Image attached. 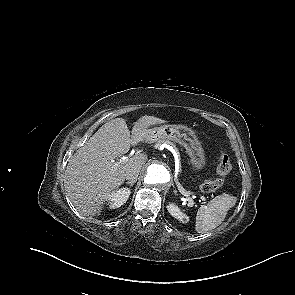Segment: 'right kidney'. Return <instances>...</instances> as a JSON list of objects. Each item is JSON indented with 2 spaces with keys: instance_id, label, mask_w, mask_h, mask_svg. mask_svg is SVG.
<instances>
[{
  "instance_id": "obj_1",
  "label": "right kidney",
  "mask_w": 295,
  "mask_h": 295,
  "mask_svg": "<svg viewBox=\"0 0 295 295\" xmlns=\"http://www.w3.org/2000/svg\"><path fill=\"white\" fill-rule=\"evenodd\" d=\"M130 193V190L127 188H121L116 192H113L110 197V208L115 209L122 206L124 203H126L127 199L130 196Z\"/></svg>"
}]
</instances>
